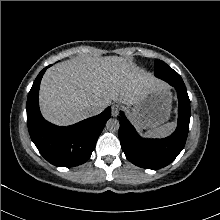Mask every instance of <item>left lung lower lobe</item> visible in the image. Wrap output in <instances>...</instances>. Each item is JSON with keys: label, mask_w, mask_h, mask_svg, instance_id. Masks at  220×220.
Returning a JSON list of instances; mask_svg holds the SVG:
<instances>
[{"label": "left lung lower lobe", "mask_w": 220, "mask_h": 220, "mask_svg": "<svg viewBox=\"0 0 220 220\" xmlns=\"http://www.w3.org/2000/svg\"><path fill=\"white\" fill-rule=\"evenodd\" d=\"M162 80L175 87L179 100L178 125L175 132L164 139L140 137L121 111L119 139L127 159L146 169H160L170 164L185 146L190 121V100L181 76L172 68L161 75Z\"/></svg>", "instance_id": "1"}]
</instances>
